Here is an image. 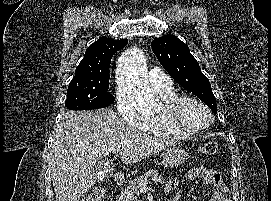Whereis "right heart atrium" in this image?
I'll return each mask as SVG.
<instances>
[{"mask_svg": "<svg viewBox=\"0 0 271 201\" xmlns=\"http://www.w3.org/2000/svg\"><path fill=\"white\" fill-rule=\"evenodd\" d=\"M116 106L119 114L127 123L139 128H143L146 125L148 117L136 111L121 91L116 92Z\"/></svg>", "mask_w": 271, "mask_h": 201, "instance_id": "obj_1", "label": "right heart atrium"}]
</instances>
